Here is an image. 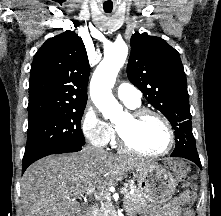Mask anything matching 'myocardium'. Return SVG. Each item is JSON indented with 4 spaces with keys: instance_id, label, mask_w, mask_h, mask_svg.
Segmentation results:
<instances>
[{
    "instance_id": "1",
    "label": "myocardium",
    "mask_w": 221,
    "mask_h": 216,
    "mask_svg": "<svg viewBox=\"0 0 221 216\" xmlns=\"http://www.w3.org/2000/svg\"><path fill=\"white\" fill-rule=\"evenodd\" d=\"M126 116L129 122L133 125H135L136 123H138L139 121H141L143 118L147 116L156 117L165 125L167 132H168L169 140H168L167 147L163 151L158 152V153H147V152L140 150L135 145H133L132 142L129 140L128 136L122 130V128L116 124L115 132H116V137H117V143H118V146L123 151L135 154L137 156L145 157V158H159V157L166 156L167 154L171 152L175 144V133H174V129L170 121L163 114H161L160 112L156 110L143 107V108H135L126 112Z\"/></svg>"
}]
</instances>
